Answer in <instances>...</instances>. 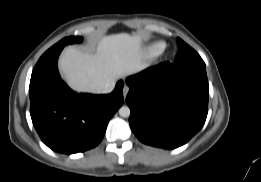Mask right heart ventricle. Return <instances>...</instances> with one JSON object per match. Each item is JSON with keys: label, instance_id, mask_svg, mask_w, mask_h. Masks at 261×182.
<instances>
[{"label": "right heart ventricle", "instance_id": "e07e8e85", "mask_svg": "<svg viewBox=\"0 0 261 182\" xmlns=\"http://www.w3.org/2000/svg\"><path fill=\"white\" fill-rule=\"evenodd\" d=\"M165 48L164 42H154L147 47V54L151 57L159 55Z\"/></svg>", "mask_w": 261, "mask_h": 182}]
</instances>
